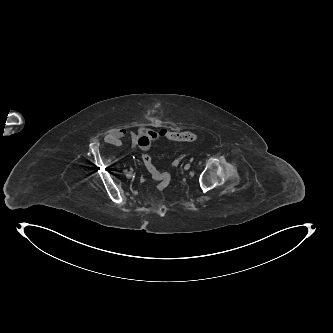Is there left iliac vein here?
Returning <instances> with one entry per match:
<instances>
[{"label": "left iliac vein", "instance_id": "4c4485c4", "mask_svg": "<svg viewBox=\"0 0 333 333\" xmlns=\"http://www.w3.org/2000/svg\"><path fill=\"white\" fill-rule=\"evenodd\" d=\"M190 168V164H186L185 166H184V170H188Z\"/></svg>", "mask_w": 333, "mask_h": 333}]
</instances>
